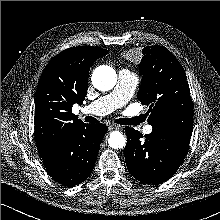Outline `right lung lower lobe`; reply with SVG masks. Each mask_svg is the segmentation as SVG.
I'll use <instances>...</instances> for the list:
<instances>
[{
    "label": "right lung lower lobe",
    "mask_w": 220,
    "mask_h": 220,
    "mask_svg": "<svg viewBox=\"0 0 220 220\" xmlns=\"http://www.w3.org/2000/svg\"><path fill=\"white\" fill-rule=\"evenodd\" d=\"M107 130L105 124H84L76 128L42 156L48 174L67 187L83 182L94 168Z\"/></svg>",
    "instance_id": "98d812e1"
}]
</instances>
